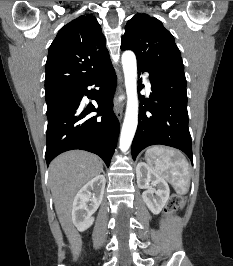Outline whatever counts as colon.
<instances>
[{"instance_id": "1", "label": "colon", "mask_w": 233, "mask_h": 266, "mask_svg": "<svg viewBox=\"0 0 233 266\" xmlns=\"http://www.w3.org/2000/svg\"><path fill=\"white\" fill-rule=\"evenodd\" d=\"M185 204V198L180 194H172L169 197L167 206H166V213L172 214L177 210L181 209Z\"/></svg>"}]
</instances>
